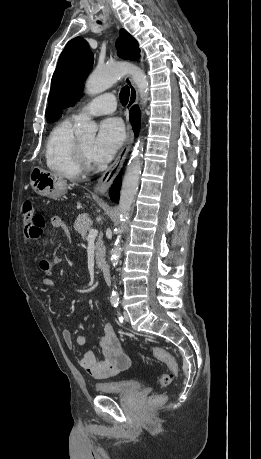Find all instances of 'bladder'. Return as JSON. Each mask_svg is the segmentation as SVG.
Returning a JSON list of instances; mask_svg holds the SVG:
<instances>
[{
	"label": "bladder",
	"instance_id": "1",
	"mask_svg": "<svg viewBox=\"0 0 261 459\" xmlns=\"http://www.w3.org/2000/svg\"><path fill=\"white\" fill-rule=\"evenodd\" d=\"M141 383L134 379L114 380L95 384V390L100 394L129 395L141 389Z\"/></svg>",
	"mask_w": 261,
	"mask_h": 459
}]
</instances>
